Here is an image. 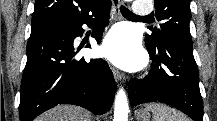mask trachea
Masks as SVG:
<instances>
[{
  "label": "trachea",
  "instance_id": "trachea-1",
  "mask_svg": "<svg viewBox=\"0 0 217 121\" xmlns=\"http://www.w3.org/2000/svg\"><path fill=\"white\" fill-rule=\"evenodd\" d=\"M120 11L121 13L124 15V16H127V17H138L136 16L133 12H131L128 8L124 7V6H121L120 7Z\"/></svg>",
  "mask_w": 217,
  "mask_h": 121
}]
</instances>
